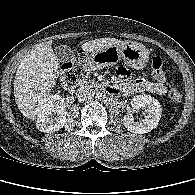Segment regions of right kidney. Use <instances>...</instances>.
Listing matches in <instances>:
<instances>
[{
	"mask_svg": "<svg viewBox=\"0 0 195 195\" xmlns=\"http://www.w3.org/2000/svg\"><path fill=\"white\" fill-rule=\"evenodd\" d=\"M67 119L64 98L58 94L50 95L39 108L36 127L41 132H55L65 125Z\"/></svg>",
	"mask_w": 195,
	"mask_h": 195,
	"instance_id": "obj_1",
	"label": "right kidney"
}]
</instances>
